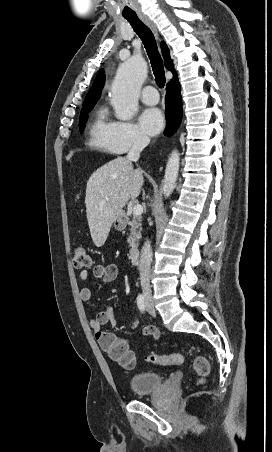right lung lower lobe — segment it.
I'll return each mask as SVG.
<instances>
[{
  "instance_id": "98d812e1",
  "label": "right lung lower lobe",
  "mask_w": 272,
  "mask_h": 452,
  "mask_svg": "<svg viewBox=\"0 0 272 452\" xmlns=\"http://www.w3.org/2000/svg\"><path fill=\"white\" fill-rule=\"evenodd\" d=\"M165 102L167 119L165 134L170 136L177 130L182 118V100L178 79L167 84Z\"/></svg>"
}]
</instances>
